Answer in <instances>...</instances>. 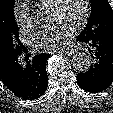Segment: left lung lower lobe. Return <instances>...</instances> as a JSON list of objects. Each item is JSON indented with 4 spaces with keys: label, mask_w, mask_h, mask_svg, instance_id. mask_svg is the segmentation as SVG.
<instances>
[{
    "label": "left lung lower lobe",
    "mask_w": 113,
    "mask_h": 113,
    "mask_svg": "<svg viewBox=\"0 0 113 113\" xmlns=\"http://www.w3.org/2000/svg\"><path fill=\"white\" fill-rule=\"evenodd\" d=\"M77 40L86 46L93 59L87 72L77 74L78 85L91 93L107 89L113 82V35L94 34L89 37L81 33Z\"/></svg>",
    "instance_id": "left-lung-lower-lobe-1"
}]
</instances>
